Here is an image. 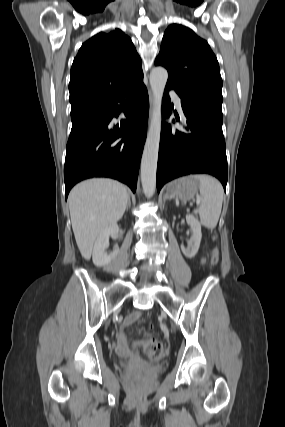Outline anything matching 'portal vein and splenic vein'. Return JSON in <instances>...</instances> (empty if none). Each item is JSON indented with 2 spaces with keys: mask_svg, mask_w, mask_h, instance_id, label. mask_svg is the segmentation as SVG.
Masks as SVG:
<instances>
[{
  "mask_svg": "<svg viewBox=\"0 0 285 427\" xmlns=\"http://www.w3.org/2000/svg\"><path fill=\"white\" fill-rule=\"evenodd\" d=\"M200 202V200H198V203ZM195 213L197 212V211H194Z\"/></svg>",
  "mask_w": 285,
  "mask_h": 427,
  "instance_id": "portal-vein-and-splenic-vein-1",
  "label": "portal vein and splenic vein"
}]
</instances>
